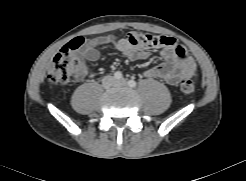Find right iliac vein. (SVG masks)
Wrapping results in <instances>:
<instances>
[{"label": "right iliac vein", "mask_w": 246, "mask_h": 181, "mask_svg": "<svg viewBox=\"0 0 246 181\" xmlns=\"http://www.w3.org/2000/svg\"><path fill=\"white\" fill-rule=\"evenodd\" d=\"M115 84L114 79L112 77H106L103 80V87L105 89H110L111 87H113Z\"/></svg>", "instance_id": "1"}]
</instances>
